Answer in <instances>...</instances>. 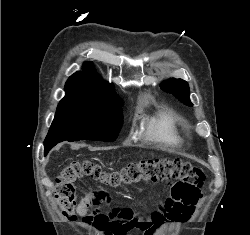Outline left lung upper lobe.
I'll use <instances>...</instances> for the list:
<instances>
[{
	"instance_id": "1",
	"label": "left lung upper lobe",
	"mask_w": 250,
	"mask_h": 235,
	"mask_svg": "<svg viewBox=\"0 0 250 235\" xmlns=\"http://www.w3.org/2000/svg\"><path fill=\"white\" fill-rule=\"evenodd\" d=\"M160 87L169 93L175 95L179 101L191 106L192 103L189 99V86L188 83L182 79H168L163 81Z\"/></svg>"
}]
</instances>
